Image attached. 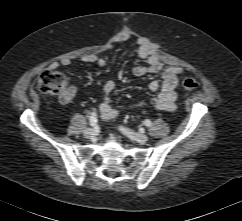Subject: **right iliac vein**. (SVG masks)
<instances>
[{"mask_svg":"<svg viewBox=\"0 0 242 221\" xmlns=\"http://www.w3.org/2000/svg\"><path fill=\"white\" fill-rule=\"evenodd\" d=\"M96 135V132L93 128H88L84 131V136L86 138H93Z\"/></svg>","mask_w":242,"mask_h":221,"instance_id":"63e3f726","label":"right iliac vein"}]
</instances>
